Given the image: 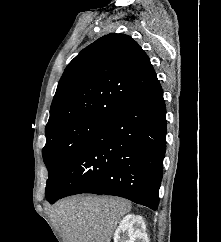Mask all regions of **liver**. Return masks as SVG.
<instances>
[{
    "mask_svg": "<svg viewBox=\"0 0 221 242\" xmlns=\"http://www.w3.org/2000/svg\"><path fill=\"white\" fill-rule=\"evenodd\" d=\"M131 203L115 197L77 196L59 201L51 219L63 242H110Z\"/></svg>",
    "mask_w": 221,
    "mask_h": 242,
    "instance_id": "6515ba94",
    "label": "liver"
}]
</instances>
